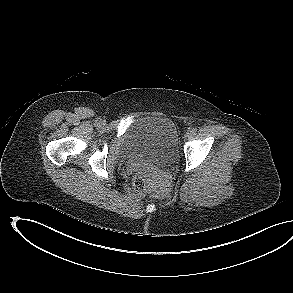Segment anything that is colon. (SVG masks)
<instances>
[{"mask_svg": "<svg viewBox=\"0 0 293 293\" xmlns=\"http://www.w3.org/2000/svg\"><path fill=\"white\" fill-rule=\"evenodd\" d=\"M133 187L138 194L146 193L152 187L150 175L146 172H137L133 177Z\"/></svg>", "mask_w": 293, "mask_h": 293, "instance_id": "5ec220e1", "label": "colon"}]
</instances>
